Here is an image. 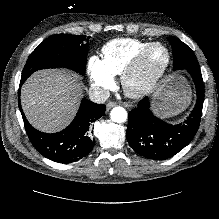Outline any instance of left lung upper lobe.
Here are the masks:
<instances>
[{
    "instance_id": "5c2ea615",
    "label": "left lung upper lobe",
    "mask_w": 219,
    "mask_h": 219,
    "mask_svg": "<svg viewBox=\"0 0 219 219\" xmlns=\"http://www.w3.org/2000/svg\"><path fill=\"white\" fill-rule=\"evenodd\" d=\"M173 48V64L176 70L199 69V64L194 52L177 38H168Z\"/></svg>"
}]
</instances>
